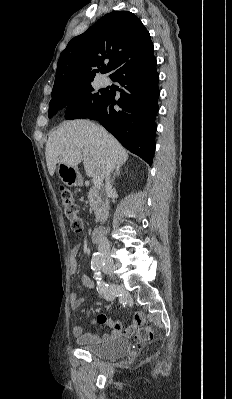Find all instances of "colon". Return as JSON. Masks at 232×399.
Here are the masks:
<instances>
[{
	"label": "colon",
	"mask_w": 232,
	"mask_h": 399,
	"mask_svg": "<svg viewBox=\"0 0 232 399\" xmlns=\"http://www.w3.org/2000/svg\"><path fill=\"white\" fill-rule=\"evenodd\" d=\"M64 180H60V185L63 184ZM61 200L63 204L65 218L71 220L70 227L72 232H83V227L79 219H76V213H78V208H76V198H73V190H70V186H61ZM154 331L153 326H144L143 330H134L133 335L137 339V346L143 347L144 341H150V337Z\"/></svg>",
	"instance_id": "obj_1"
}]
</instances>
